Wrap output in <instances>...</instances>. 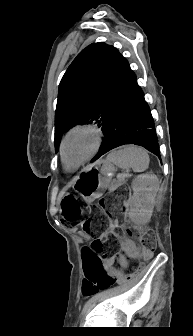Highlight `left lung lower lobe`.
Returning <instances> with one entry per match:
<instances>
[{"instance_id":"left-lung-lower-lobe-1","label":"left lung lower lobe","mask_w":193,"mask_h":336,"mask_svg":"<svg viewBox=\"0 0 193 336\" xmlns=\"http://www.w3.org/2000/svg\"><path fill=\"white\" fill-rule=\"evenodd\" d=\"M101 127L105 138L92 161L125 144L142 146L160 158L154 121L129 64L115 102Z\"/></svg>"}]
</instances>
